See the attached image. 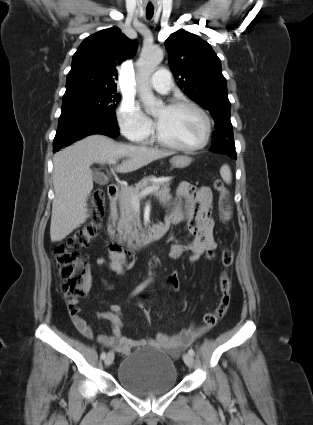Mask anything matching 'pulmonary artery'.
Segmentation results:
<instances>
[{"label": "pulmonary artery", "instance_id": "e3ab8cb5", "mask_svg": "<svg viewBox=\"0 0 313 425\" xmlns=\"http://www.w3.org/2000/svg\"><path fill=\"white\" fill-rule=\"evenodd\" d=\"M150 85L160 93H168L172 88V80L167 69H158L150 79Z\"/></svg>", "mask_w": 313, "mask_h": 425}]
</instances>
